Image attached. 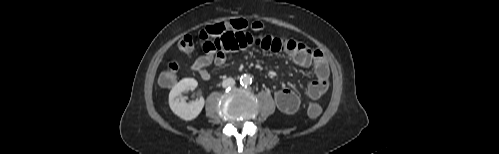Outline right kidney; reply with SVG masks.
<instances>
[{"label":"right kidney","mask_w":499,"mask_h":154,"mask_svg":"<svg viewBox=\"0 0 499 154\" xmlns=\"http://www.w3.org/2000/svg\"><path fill=\"white\" fill-rule=\"evenodd\" d=\"M197 85L198 82L194 78H184L169 93V106L171 110L183 120L189 121L195 119L204 107L203 97L189 103L179 98L182 92H186L188 89L194 90Z\"/></svg>","instance_id":"1"}]
</instances>
